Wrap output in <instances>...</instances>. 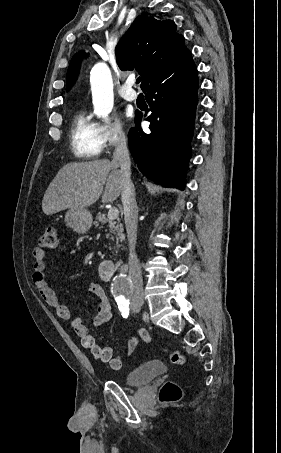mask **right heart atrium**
Returning a JSON list of instances; mask_svg holds the SVG:
<instances>
[{
  "label": "right heart atrium",
  "mask_w": 281,
  "mask_h": 453,
  "mask_svg": "<svg viewBox=\"0 0 281 453\" xmlns=\"http://www.w3.org/2000/svg\"><path fill=\"white\" fill-rule=\"evenodd\" d=\"M109 86L105 81L95 80L94 98L102 100L107 96ZM101 133L105 144L109 148H115L125 142L127 133L119 120H109L101 124ZM115 173V172H114Z\"/></svg>",
  "instance_id": "obj_1"
}]
</instances>
